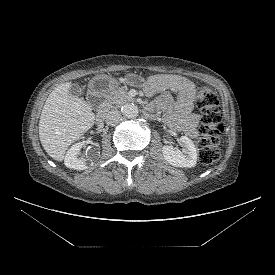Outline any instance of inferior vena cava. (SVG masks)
<instances>
[{"label":"inferior vena cava","instance_id":"602c4592","mask_svg":"<svg viewBox=\"0 0 275 275\" xmlns=\"http://www.w3.org/2000/svg\"><path fill=\"white\" fill-rule=\"evenodd\" d=\"M120 112L118 110H111L107 113L105 121L108 125H115L120 120Z\"/></svg>","mask_w":275,"mask_h":275}]
</instances>
